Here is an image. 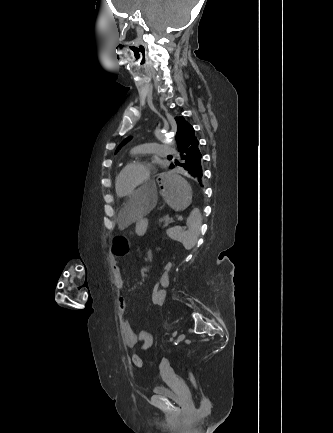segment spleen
I'll list each match as a JSON object with an SVG mask.
<instances>
[{
	"mask_svg": "<svg viewBox=\"0 0 333 433\" xmlns=\"http://www.w3.org/2000/svg\"><path fill=\"white\" fill-rule=\"evenodd\" d=\"M201 218L200 208L197 206L192 207L190 216L187 219V225L184 227L175 226L173 230L168 232L169 237L181 242L186 250L192 249L196 245L200 234Z\"/></svg>",
	"mask_w": 333,
	"mask_h": 433,
	"instance_id": "3e777b00",
	"label": "spleen"
}]
</instances>
